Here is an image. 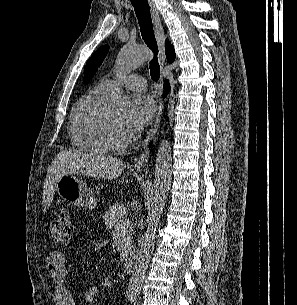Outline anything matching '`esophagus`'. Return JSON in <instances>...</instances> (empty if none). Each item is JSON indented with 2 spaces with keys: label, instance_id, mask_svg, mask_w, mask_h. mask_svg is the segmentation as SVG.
<instances>
[{
  "label": "esophagus",
  "instance_id": "34e87169",
  "mask_svg": "<svg viewBox=\"0 0 297 305\" xmlns=\"http://www.w3.org/2000/svg\"><path fill=\"white\" fill-rule=\"evenodd\" d=\"M147 2L150 7L151 16H152V20H153V24H154L155 37H156L158 48H159V61H160L161 67L163 68L165 61H166L165 47H164L165 33L163 30L160 14L155 6L154 1L147 0ZM162 84H163V77L160 81V95H161V91H162ZM162 113H163V102L160 99L154 123H153L152 127L150 128V130L148 131L145 140L143 141V149H142L140 155L135 160L134 168L136 170H139V171L143 170L148 162V158L150 155V143L154 139L155 133L160 126L161 119H162Z\"/></svg>",
  "mask_w": 297,
  "mask_h": 305
}]
</instances>
